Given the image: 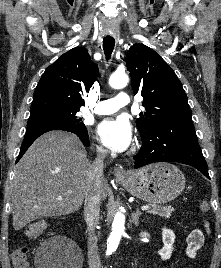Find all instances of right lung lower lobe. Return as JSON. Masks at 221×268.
I'll use <instances>...</instances> for the list:
<instances>
[{"label":"right lung lower lobe","mask_w":221,"mask_h":268,"mask_svg":"<svg viewBox=\"0 0 221 268\" xmlns=\"http://www.w3.org/2000/svg\"><path fill=\"white\" fill-rule=\"evenodd\" d=\"M51 130H64V131H69L71 133H74L79 137V139L82 141V143L85 146H89V138H88L87 130L68 128V127H63V126H54V125H39V126L29 127L26 130V134H25L23 143L21 145L20 153L16 160V163L20 160V158L23 156V154L26 152L29 146L40 135Z\"/></svg>","instance_id":"98d812e1"}]
</instances>
